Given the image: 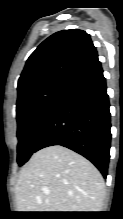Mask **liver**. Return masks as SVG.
I'll return each mask as SVG.
<instances>
[{
  "label": "liver",
  "mask_w": 123,
  "mask_h": 219,
  "mask_svg": "<svg viewBox=\"0 0 123 219\" xmlns=\"http://www.w3.org/2000/svg\"><path fill=\"white\" fill-rule=\"evenodd\" d=\"M15 194L18 212H100L105 184L90 161L53 145L31 156L20 171Z\"/></svg>",
  "instance_id": "obj_1"
}]
</instances>
